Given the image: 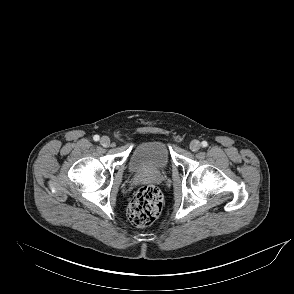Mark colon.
Instances as JSON below:
<instances>
[{
	"instance_id": "5ec220e1",
	"label": "colon",
	"mask_w": 294,
	"mask_h": 294,
	"mask_svg": "<svg viewBox=\"0 0 294 294\" xmlns=\"http://www.w3.org/2000/svg\"><path fill=\"white\" fill-rule=\"evenodd\" d=\"M162 203V194L156 186H143L136 192L128 206V219L137 227L148 226L159 217Z\"/></svg>"
}]
</instances>
